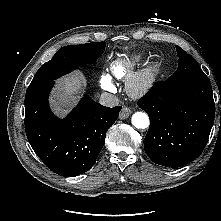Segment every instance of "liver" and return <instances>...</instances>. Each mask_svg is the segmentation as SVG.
<instances>
[{"mask_svg":"<svg viewBox=\"0 0 221 221\" xmlns=\"http://www.w3.org/2000/svg\"><path fill=\"white\" fill-rule=\"evenodd\" d=\"M59 83L52 97V105L57 113L64 114L76 103L86 85V80L81 72H73L61 79Z\"/></svg>","mask_w":221,"mask_h":221,"instance_id":"obj_1","label":"liver"}]
</instances>
